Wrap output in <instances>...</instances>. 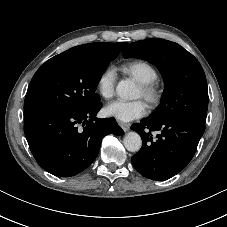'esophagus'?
<instances>
[{"mask_svg": "<svg viewBox=\"0 0 227 227\" xmlns=\"http://www.w3.org/2000/svg\"><path fill=\"white\" fill-rule=\"evenodd\" d=\"M118 124L121 126V128L124 131H128L130 129V124H128V123L118 121Z\"/></svg>", "mask_w": 227, "mask_h": 227, "instance_id": "obj_1", "label": "esophagus"}]
</instances>
